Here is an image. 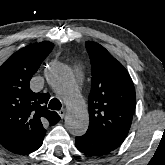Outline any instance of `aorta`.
I'll return each mask as SVG.
<instances>
[{"label":"aorta","mask_w":165,"mask_h":165,"mask_svg":"<svg viewBox=\"0 0 165 165\" xmlns=\"http://www.w3.org/2000/svg\"><path fill=\"white\" fill-rule=\"evenodd\" d=\"M47 81L61 94L68 114L65 119L67 130L75 136L83 135L89 125V114L85 101L75 88L67 69L61 64H52L45 73Z\"/></svg>","instance_id":"aorta-1"}]
</instances>
